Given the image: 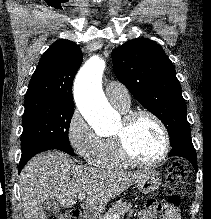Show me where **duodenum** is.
<instances>
[{
  "label": "duodenum",
  "instance_id": "duodenum-1",
  "mask_svg": "<svg viewBox=\"0 0 211 219\" xmlns=\"http://www.w3.org/2000/svg\"><path fill=\"white\" fill-rule=\"evenodd\" d=\"M81 214V213H80ZM81 219H94L95 218V212L93 210H86L81 214Z\"/></svg>",
  "mask_w": 211,
  "mask_h": 219
}]
</instances>
